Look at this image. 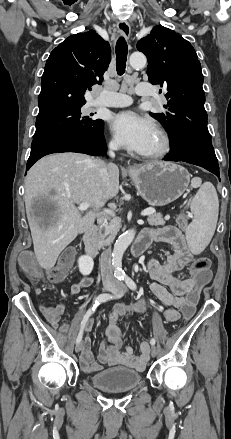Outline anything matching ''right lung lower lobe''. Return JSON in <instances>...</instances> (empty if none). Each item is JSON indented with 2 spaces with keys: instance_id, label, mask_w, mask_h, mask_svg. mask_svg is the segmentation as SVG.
I'll return each mask as SVG.
<instances>
[{
  "instance_id": "obj_1",
  "label": "right lung lower lobe",
  "mask_w": 231,
  "mask_h": 439,
  "mask_svg": "<svg viewBox=\"0 0 231 439\" xmlns=\"http://www.w3.org/2000/svg\"><path fill=\"white\" fill-rule=\"evenodd\" d=\"M105 149L103 128L99 132L89 134L55 133L47 135L33 140L26 170L48 154L76 152L96 156L104 154Z\"/></svg>"
}]
</instances>
